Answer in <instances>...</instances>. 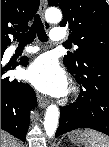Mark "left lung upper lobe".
Instances as JSON below:
<instances>
[{
  "label": "left lung upper lobe",
  "instance_id": "left-lung-upper-lobe-1",
  "mask_svg": "<svg viewBox=\"0 0 109 147\" xmlns=\"http://www.w3.org/2000/svg\"><path fill=\"white\" fill-rule=\"evenodd\" d=\"M63 12L61 27L68 26L72 42L79 48L64 56L71 72L83 64V57L99 54L109 57V5L106 0H48Z\"/></svg>",
  "mask_w": 109,
  "mask_h": 147
}]
</instances>
